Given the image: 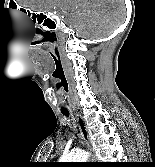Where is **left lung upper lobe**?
<instances>
[{"label":"left lung upper lobe","mask_w":155,"mask_h":167,"mask_svg":"<svg viewBox=\"0 0 155 167\" xmlns=\"http://www.w3.org/2000/svg\"><path fill=\"white\" fill-rule=\"evenodd\" d=\"M53 167H61L62 165L60 163H51Z\"/></svg>","instance_id":"left-lung-upper-lobe-1"}]
</instances>
